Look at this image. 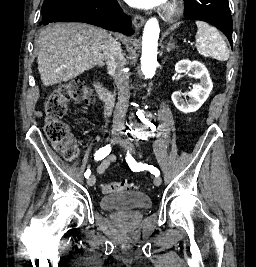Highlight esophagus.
Here are the masks:
<instances>
[{"label": "esophagus", "mask_w": 256, "mask_h": 267, "mask_svg": "<svg viewBox=\"0 0 256 267\" xmlns=\"http://www.w3.org/2000/svg\"><path fill=\"white\" fill-rule=\"evenodd\" d=\"M144 21H145V19H144L143 16H141V15H135V17L133 19L134 27L136 29H140L143 26Z\"/></svg>", "instance_id": "esophagus-1"}]
</instances>
